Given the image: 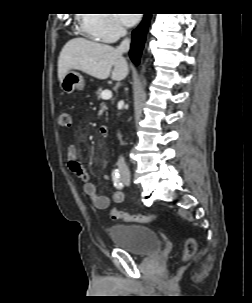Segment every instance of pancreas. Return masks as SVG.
<instances>
[{
  "instance_id": "1",
  "label": "pancreas",
  "mask_w": 252,
  "mask_h": 303,
  "mask_svg": "<svg viewBox=\"0 0 252 303\" xmlns=\"http://www.w3.org/2000/svg\"><path fill=\"white\" fill-rule=\"evenodd\" d=\"M102 88H98L95 94L97 95L98 99L101 97ZM105 111V106L101 104V110L99 114H102Z\"/></svg>"
}]
</instances>
